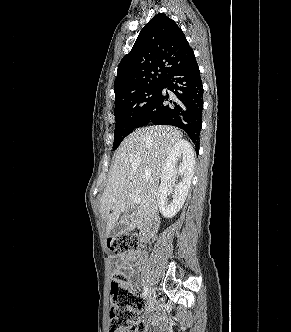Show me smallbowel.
Returning a JSON list of instances; mask_svg holds the SVG:
<instances>
[{
  "label": "small bowel",
  "instance_id": "obj_1",
  "mask_svg": "<svg viewBox=\"0 0 291 332\" xmlns=\"http://www.w3.org/2000/svg\"><path fill=\"white\" fill-rule=\"evenodd\" d=\"M116 267L122 268L124 270H127L130 272V274L133 276L134 275V268L132 266L126 265L124 262H115ZM160 318V313H156L154 317L152 318V321L157 323Z\"/></svg>",
  "mask_w": 291,
  "mask_h": 332
}]
</instances>
